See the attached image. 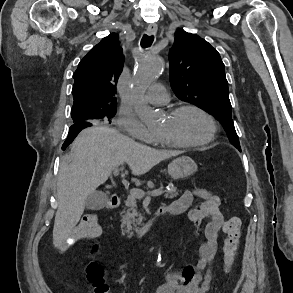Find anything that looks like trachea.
<instances>
[{
  "instance_id": "1",
  "label": "trachea",
  "mask_w": 293,
  "mask_h": 293,
  "mask_svg": "<svg viewBox=\"0 0 293 293\" xmlns=\"http://www.w3.org/2000/svg\"><path fill=\"white\" fill-rule=\"evenodd\" d=\"M153 41H154V36L152 35L148 36L145 34L141 39V46L143 48H147L152 45Z\"/></svg>"
}]
</instances>
